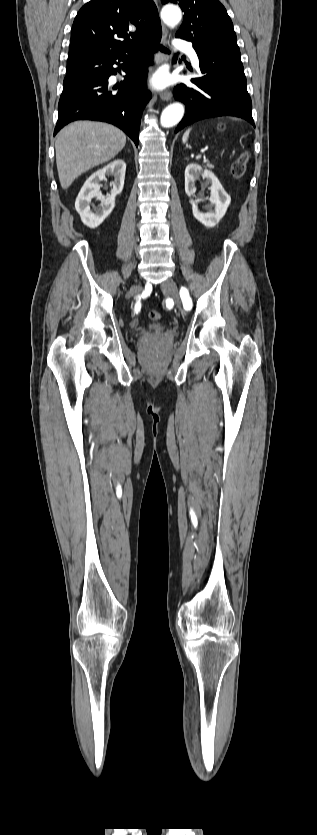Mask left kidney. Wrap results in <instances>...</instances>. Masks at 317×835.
Wrapping results in <instances>:
<instances>
[{
    "mask_svg": "<svg viewBox=\"0 0 317 835\" xmlns=\"http://www.w3.org/2000/svg\"><path fill=\"white\" fill-rule=\"evenodd\" d=\"M206 179L210 186V197L204 198L203 195L195 196L197 180ZM185 192L190 197L192 205L193 216L204 226L214 227L225 215L228 206L231 202V197L224 190L223 186L210 170H203L199 164L190 163L185 169ZM209 200L210 204L204 207V211L199 210L198 204L201 201Z\"/></svg>",
    "mask_w": 317,
    "mask_h": 835,
    "instance_id": "5707ae66",
    "label": "left kidney"
}]
</instances>
